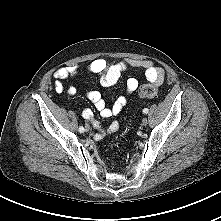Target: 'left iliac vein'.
I'll return each mask as SVG.
<instances>
[{"instance_id":"1","label":"left iliac vein","mask_w":221,"mask_h":221,"mask_svg":"<svg viewBox=\"0 0 221 221\" xmlns=\"http://www.w3.org/2000/svg\"><path fill=\"white\" fill-rule=\"evenodd\" d=\"M148 124V119L145 117L142 119V125L146 126Z\"/></svg>"}]
</instances>
